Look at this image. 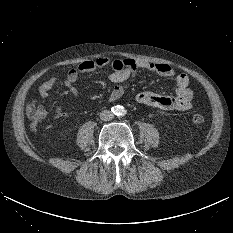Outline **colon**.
<instances>
[{
    "label": "colon",
    "mask_w": 233,
    "mask_h": 233,
    "mask_svg": "<svg viewBox=\"0 0 233 233\" xmlns=\"http://www.w3.org/2000/svg\"><path fill=\"white\" fill-rule=\"evenodd\" d=\"M28 115L31 120L32 126L35 128L37 127L40 123L43 122V120L46 117V111L42 107H35L33 105H30L28 107ZM204 117L203 115L199 113H195L192 115V122L195 124H202L204 122Z\"/></svg>",
    "instance_id": "obj_1"
}]
</instances>
